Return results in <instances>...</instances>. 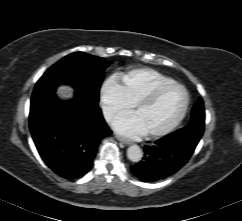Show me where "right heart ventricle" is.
<instances>
[{
	"mask_svg": "<svg viewBox=\"0 0 242 221\" xmlns=\"http://www.w3.org/2000/svg\"><path fill=\"white\" fill-rule=\"evenodd\" d=\"M128 99L135 104L151 88L171 79L156 70L149 68L132 69L117 76Z\"/></svg>",
	"mask_w": 242,
	"mask_h": 221,
	"instance_id": "1",
	"label": "right heart ventricle"
}]
</instances>
